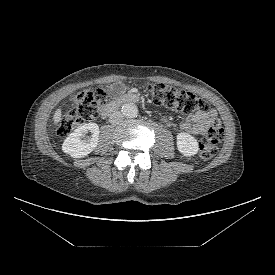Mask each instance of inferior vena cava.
<instances>
[{"mask_svg":"<svg viewBox=\"0 0 275 275\" xmlns=\"http://www.w3.org/2000/svg\"><path fill=\"white\" fill-rule=\"evenodd\" d=\"M123 120V114L120 111H114L109 117L111 124H118Z\"/></svg>","mask_w":275,"mask_h":275,"instance_id":"602c4592","label":"inferior vena cava"}]
</instances>
